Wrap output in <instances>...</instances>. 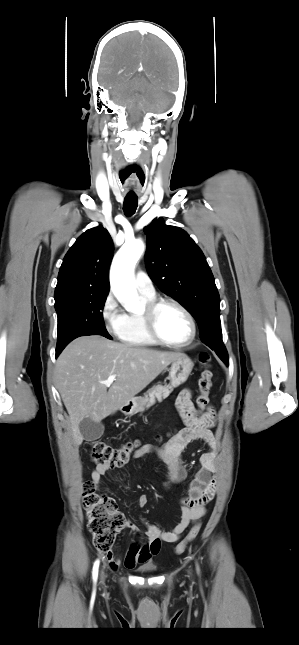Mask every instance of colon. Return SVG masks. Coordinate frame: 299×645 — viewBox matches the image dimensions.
Wrapping results in <instances>:
<instances>
[{"mask_svg": "<svg viewBox=\"0 0 299 645\" xmlns=\"http://www.w3.org/2000/svg\"><path fill=\"white\" fill-rule=\"evenodd\" d=\"M211 357L202 352L199 362L204 367L199 378L200 395L197 398L198 412L202 411L209 402V392L212 387V372L209 369ZM138 446L137 442H127L120 447H112L100 441H95L91 448V457L98 464H107L113 468L121 467L127 463L131 453ZM83 505L88 519V528L93 537L95 548L103 553H110L115 543L116 536L127 524V520L119 511L116 501L106 495L99 494L93 483L87 481L83 490ZM200 531V524H195L187 536L175 547V553L181 554L196 539Z\"/></svg>", "mask_w": 299, "mask_h": 645, "instance_id": "5ec220e1", "label": "colon"}]
</instances>
